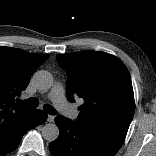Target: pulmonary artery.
Returning a JSON list of instances; mask_svg holds the SVG:
<instances>
[{
  "instance_id": "pulmonary-artery-1",
  "label": "pulmonary artery",
  "mask_w": 156,
  "mask_h": 156,
  "mask_svg": "<svg viewBox=\"0 0 156 156\" xmlns=\"http://www.w3.org/2000/svg\"><path fill=\"white\" fill-rule=\"evenodd\" d=\"M64 87L60 83H56L48 94V98L55 106L62 111L68 118L76 119L78 112L65 99Z\"/></svg>"
}]
</instances>
